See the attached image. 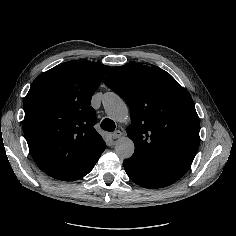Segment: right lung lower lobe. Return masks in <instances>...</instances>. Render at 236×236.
I'll return each instance as SVG.
<instances>
[{
    "instance_id": "1",
    "label": "right lung lower lobe",
    "mask_w": 236,
    "mask_h": 236,
    "mask_svg": "<svg viewBox=\"0 0 236 236\" xmlns=\"http://www.w3.org/2000/svg\"><path fill=\"white\" fill-rule=\"evenodd\" d=\"M101 154L97 155L96 157H94L90 162H88L79 172H77L72 179L68 180V181H74V180H78L82 177H84L85 175H87L94 167V165L96 164V162L98 161L99 157Z\"/></svg>"
}]
</instances>
